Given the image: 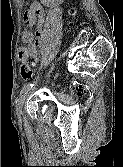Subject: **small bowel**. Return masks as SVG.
Instances as JSON below:
<instances>
[{
	"label": "small bowel",
	"mask_w": 123,
	"mask_h": 167,
	"mask_svg": "<svg viewBox=\"0 0 123 167\" xmlns=\"http://www.w3.org/2000/svg\"><path fill=\"white\" fill-rule=\"evenodd\" d=\"M43 12L38 5L34 4L30 11H27L23 20L27 25H36V32L25 31L22 34V41L27 45L29 57L35 61L40 59L41 50L44 45L46 34L42 27Z\"/></svg>",
	"instance_id": "1"
}]
</instances>
